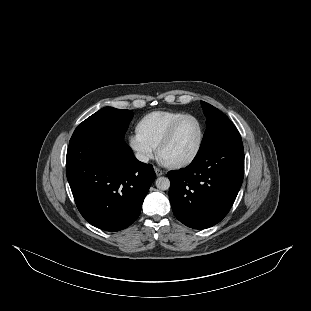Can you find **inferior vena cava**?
I'll return each mask as SVG.
<instances>
[{"mask_svg":"<svg viewBox=\"0 0 311 311\" xmlns=\"http://www.w3.org/2000/svg\"><path fill=\"white\" fill-rule=\"evenodd\" d=\"M135 157L137 160L147 163L149 161V157L143 153H136Z\"/></svg>","mask_w":311,"mask_h":311,"instance_id":"inferior-vena-cava-1","label":"inferior vena cava"}]
</instances>
